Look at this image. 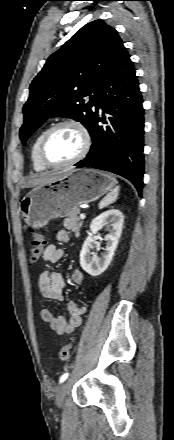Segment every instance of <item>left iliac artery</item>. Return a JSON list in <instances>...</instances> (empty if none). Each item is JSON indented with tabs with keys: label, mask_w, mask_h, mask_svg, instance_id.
<instances>
[{
	"label": "left iliac artery",
	"mask_w": 174,
	"mask_h": 440,
	"mask_svg": "<svg viewBox=\"0 0 174 440\" xmlns=\"http://www.w3.org/2000/svg\"><path fill=\"white\" fill-rule=\"evenodd\" d=\"M69 373H64L61 377H60V383L64 382L67 378H68Z\"/></svg>",
	"instance_id": "44dca946"
}]
</instances>
